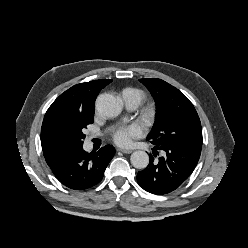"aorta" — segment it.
Wrapping results in <instances>:
<instances>
[{"label": "aorta", "instance_id": "aorta-1", "mask_svg": "<svg viewBox=\"0 0 248 248\" xmlns=\"http://www.w3.org/2000/svg\"><path fill=\"white\" fill-rule=\"evenodd\" d=\"M95 107L101 116L116 117L121 113L122 102L111 94H101L96 99ZM130 161L133 167L144 169L149 163V156L145 151H135Z\"/></svg>", "mask_w": 248, "mask_h": 248}]
</instances>
